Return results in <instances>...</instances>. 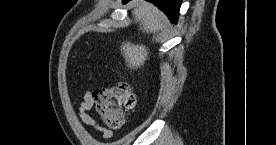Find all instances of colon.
<instances>
[{
	"label": "colon",
	"mask_w": 276,
	"mask_h": 145,
	"mask_svg": "<svg viewBox=\"0 0 276 145\" xmlns=\"http://www.w3.org/2000/svg\"><path fill=\"white\" fill-rule=\"evenodd\" d=\"M96 114L109 128H121L126 115L136 107L137 97L127 83L101 87L92 92Z\"/></svg>",
	"instance_id": "obj_1"
}]
</instances>
